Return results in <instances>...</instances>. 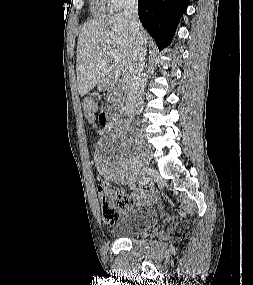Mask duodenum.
<instances>
[{"mask_svg":"<svg viewBox=\"0 0 253 285\" xmlns=\"http://www.w3.org/2000/svg\"><path fill=\"white\" fill-rule=\"evenodd\" d=\"M108 86H109V80H107V79L102 80V81L100 82V84H99V88H100L101 90L106 89ZM116 115H117V111H115V110L110 111V112L108 113V119H109V120H113V119H115Z\"/></svg>","mask_w":253,"mask_h":285,"instance_id":"obj_1","label":"duodenum"}]
</instances>
